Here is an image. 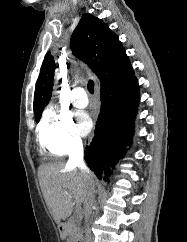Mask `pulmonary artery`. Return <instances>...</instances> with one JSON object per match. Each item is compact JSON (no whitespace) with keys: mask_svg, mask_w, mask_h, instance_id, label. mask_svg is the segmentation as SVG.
<instances>
[{"mask_svg":"<svg viewBox=\"0 0 187 242\" xmlns=\"http://www.w3.org/2000/svg\"><path fill=\"white\" fill-rule=\"evenodd\" d=\"M71 100L75 107L85 108L88 105V98L82 87H76L71 94Z\"/></svg>","mask_w":187,"mask_h":242,"instance_id":"pulmonary-artery-1","label":"pulmonary artery"}]
</instances>
